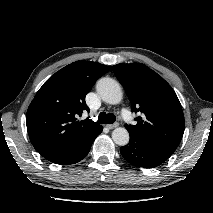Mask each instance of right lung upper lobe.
Instances as JSON below:
<instances>
[{
    "instance_id": "right-lung-upper-lobe-1",
    "label": "right lung upper lobe",
    "mask_w": 213,
    "mask_h": 213,
    "mask_svg": "<svg viewBox=\"0 0 213 213\" xmlns=\"http://www.w3.org/2000/svg\"><path fill=\"white\" fill-rule=\"evenodd\" d=\"M110 67L90 61L73 62L53 74L28 107L26 124L34 148H65L80 142L101 126L89 118L78 121L88 109L85 96Z\"/></svg>"
}]
</instances>
